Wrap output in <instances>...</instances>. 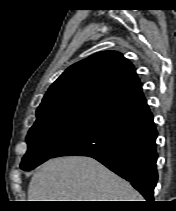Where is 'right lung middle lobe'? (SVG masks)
I'll return each mask as SVG.
<instances>
[{"mask_svg": "<svg viewBox=\"0 0 176 211\" xmlns=\"http://www.w3.org/2000/svg\"><path fill=\"white\" fill-rule=\"evenodd\" d=\"M100 120L62 112L37 115L27 135V152L20 168L31 170L94 127Z\"/></svg>", "mask_w": 176, "mask_h": 211, "instance_id": "1", "label": "right lung middle lobe"}]
</instances>
